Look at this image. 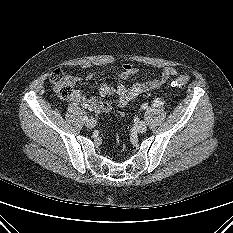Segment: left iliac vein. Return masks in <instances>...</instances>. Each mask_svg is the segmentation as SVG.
I'll return each mask as SVG.
<instances>
[{"label": "left iliac vein", "mask_w": 233, "mask_h": 233, "mask_svg": "<svg viewBox=\"0 0 233 233\" xmlns=\"http://www.w3.org/2000/svg\"><path fill=\"white\" fill-rule=\"evenodd\" d=\"M135 129L139 133H144L147 131V124L144 121H140L136 124Z\"/></svg>", "instance_id": "4c4485c4"}]
</instances>
